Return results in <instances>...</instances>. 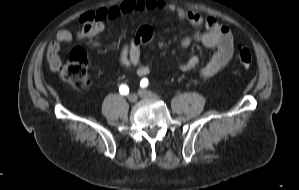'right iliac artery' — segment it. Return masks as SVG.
Here are the masks:
<instances>
[{
    "mask_svg": "<svg viewBox=\"0 0 299 190\" xmlns=\"http://www.w3.org/2000/svg\"><path fill=\"white\" fill-rule=\"evenodd\" d=\"M119 91L122 95H127L129 93V88L127 85L122 84L119 88Z\"/></svg>",
    "mask_w": 299,
    "mask_h": 190,
    "instance_id": "right-iliac-artery-1",
    "label": "right iliac artery"
}]
</instances>
